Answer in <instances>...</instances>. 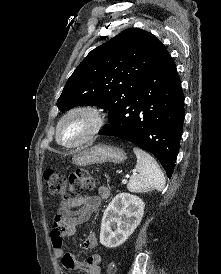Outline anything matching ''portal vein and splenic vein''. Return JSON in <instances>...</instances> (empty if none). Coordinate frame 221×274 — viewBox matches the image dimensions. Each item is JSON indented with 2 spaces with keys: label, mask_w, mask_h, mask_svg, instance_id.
I'll use <instances>...</instances> for the list:
<instances>
[{
  "label": "portal vein and splenic vein",
  "mask_w": 221,
  "mask_h": 274,
  "mask_svg": "<svg viewBox=\"0 0 221 274\" xmlns=\"http://www.w3.org/2000/svg\"><path fill=\"white\" fill-rule=\"evenodd\" d=\"M122 183H123V184H126V183H127V179H123V180H122Z\"/></svg>",
  "instance_id": "portal-vein-and-splenic-vein-1"
}]
</instances>
